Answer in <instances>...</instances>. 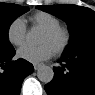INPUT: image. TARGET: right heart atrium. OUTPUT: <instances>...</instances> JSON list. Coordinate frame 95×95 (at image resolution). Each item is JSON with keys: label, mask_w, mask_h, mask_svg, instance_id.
<instances>
[{"label": "right heart atrium", "mask_w": 95, "mask_h": 95, "mask_svg": "<svg viewBox=\"0 0 95 95\" xmlns=\"http://www.w3.org/2000/svg\"><path fill=\"white\" fill-rule=\"evenodd\" d=\"M26 25L22 18L14 19L8 26V40L15 46H21L26 42Z\"/></svg>", "instance_id": "1"}]
</instances>
